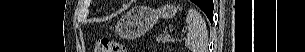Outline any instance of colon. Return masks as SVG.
Instances as JSON below:
<instances>
[{
  "label": "colon",
  "mask_w": 305,
  "mask_h": 52,
  "mask_svg": "<svg viewBox=\"0 0 305 52\" xmlns=\"http://www.w3.org/2000/svg\"><path fill=\"white\" fill-rule=\"evenodd\" d=\"M95 52H126V49L116 40L103 38L96 43Z\"/></svg>",
  "instance_id": "5ec220e1"
}]
</instances>
